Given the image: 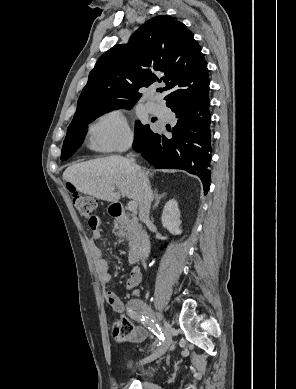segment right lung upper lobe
I'll return each instance as SVG.
<instances>
[{
	"label": "right lung upper lobe",
	"mask_w": 296,
	"mask_h": 389,
	"mask_svg": "<svg viewBox=\"0 0 296 389\" xmlns=\"http://www.w3.org/2000/svg\"><path fill=\"white\" fill-rule=\"evenodd\" d=\"M163 82L167 106L209 88L207 62L187 27L168 15L156 16L131 36L129 45L105 52L89 74L77 116L91 108L133 106L139 89Z\"/></svg>",
	"instance_id": "1"
}]
</instances>
